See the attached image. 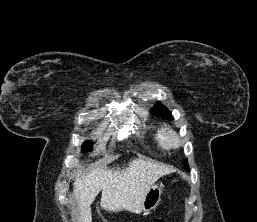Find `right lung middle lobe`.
Wrapping results in <instances>:
<instances>
[{
	"label": "right lung middle lobe",
	"instance_id": "1",
	"mask_svg": "<svg viewBox=\"0 0 257 222\" xmlns=\"http://www.w3.org/2000/svg\"><path fill=\"white\" fill-rule=\"evenodd\" d=\"M92 143L89 141L84 142L82 152L91 151Z\"/></svg>",
	"mask_w": 257,
	"mask_h": 222
}]
</instances>
